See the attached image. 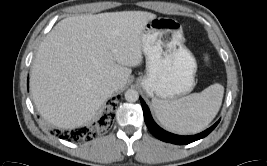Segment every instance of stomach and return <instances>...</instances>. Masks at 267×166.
Instances as JSON below:
<instances>
[{
	"instance_id": "0dacf381",
	"label": "stomach",
	"mask_w": 267,
	"mask_h": 166,
	"mask_svg": "<svg viewBox=\"0 0 267 166\" xmlns=\"http://www.w3.org/2000/svg\"><path fill=\"white\" fill-rule=\"evenodd\" d=\"M142 51L146 73L137 84L148 96L173 100L193 90L197 63L183 43L177 21L162 17L149 21L143 32Z\"/></svg>"
}]
</instances>
